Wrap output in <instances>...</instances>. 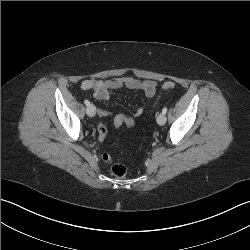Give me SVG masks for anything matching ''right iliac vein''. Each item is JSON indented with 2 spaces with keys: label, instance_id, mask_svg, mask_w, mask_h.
<instances>
[{
  "label": "right iliac vein",
  "instance_id": "63e3f726",
  "mask_svg": "<svg viewBox=\"0 0 250 250\" xmlns=\"http://www.w3.org/2000/svg\"><path fill=\"white\" fill-rule=\"evenodd\" d=\"M86 113L89 117H93L96 114V107L93 104L87 106Z\"/></svg>",
  "mask_w": 250,
  "mask_h": 250
}]
</instances>
